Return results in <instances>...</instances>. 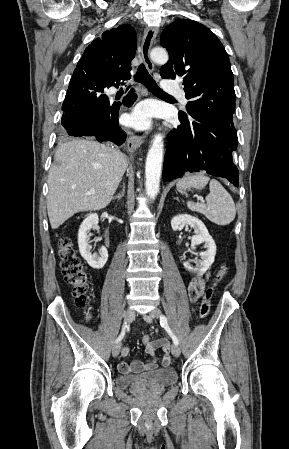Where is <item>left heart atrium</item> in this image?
<instances>
[{
  "label": "left heart atrium",
  "mask_w": 289,
  "mask_h": 449,
  "mask_svg": "<svg viewBox=\"0 0 289 449\" xmlns=\"http://www.w3.org/2000/svg\"><path fill=\"white\" fill-rule=\"evenodd\" d=\"M151 117L152 108L148 104L142 103L127 115L126 123L138 129H147L151 124Z\"/></svg>",
  "instance_id": "39dd6f15"
}]
</instances>
